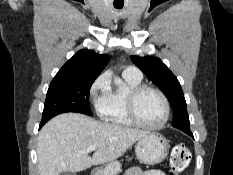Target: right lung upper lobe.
Returning <instances> with one entry per match:
<instances>
[{
  "label": "right lung upper lobe",
  "mask_w": 233,
  "mask_h": 175,
  "mask_svg": "<svg viewBox=\"0 0 233 175\" xmlns=\"http://www.w3.org/2000/svg\"><path fill=\"white\" fill-rule=\"evenodd\" d=\"M108 61V55H100L91 50H80L65 63L53 81L96 79Z\"/></svg>",
  "instance_id": "obj_1"
}]
</instances>
